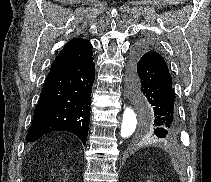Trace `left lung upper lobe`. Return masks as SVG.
Returning <instances> with one entry per match:
<instances>
[{
  "label": "left lung upper lobe",
  "instance_id": "1",
  "mask_svg": "<svg viewBox=\"0 0 211 182\" xmlns=\"http://www.w3.org/2000/svg\"><path fill=\"white\" fill-rule=\"evenodd\" d=\"M149 131H150V129H149V128H147L146 133H148Z\"/></svg>",
  "mask_w": 211,
  "mask_h": 182
}]
</instances>
